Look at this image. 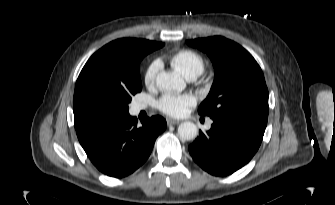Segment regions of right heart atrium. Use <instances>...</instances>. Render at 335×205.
Masks as SVG:
<instances>
[{
    "label": "right heart atrium",
    "instance_id": "right-heart-atrium-1",
    "mask_svg": "<svg viewBox=\"0 0 335 205\" xmlns=\"http://www.w3.org/2000/svg\"><path fill=\"white\" fill-rule=\"evenodd\" d=\"M159 69H160V64L158 61H153L147 67L144 73V82L147 86L151 87L155 84Z\"/></svg>",
    "mask_w": 335,
    "mask_h": 205
}]
</instances>
